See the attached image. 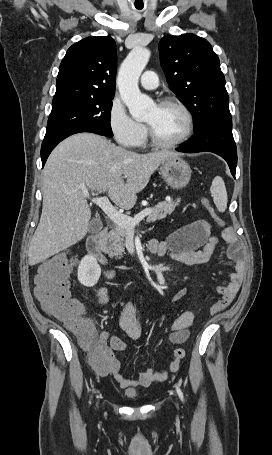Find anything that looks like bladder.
Returning <instances> with one entry per match:
<instances>
[{"mask_svg": "<svg viewBox=\"0 0 272 455\" xmlns=\"http://www.w3.org/2000/svg\"><path fill=\"white\" fill-rule=\"evenodd\" d=\"M126 395L129 397H135L137 395V392L135 389H127L126 390Z\"/></svg>", "mask_w": 272, "mask_h": 455, "instance_id": "bladder-1", "label": "bladder"}]
</instances>
